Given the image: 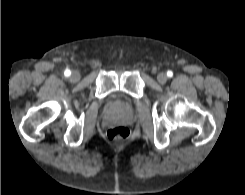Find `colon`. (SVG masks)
<instances>
[{"label": "colon", "instance_id": "5ec220e1", "mask_svg": "<svg viewBox=\"0 0 245 195\" xmlns=\"http://www.w3.org/2000/svg\"><path fill=\"white\" fill-rule=\"evenodd\" d=\"M130 136V130L125 126H116L107 131V137L114 142H121Z\"/></svg>", "mask_w": 245, "mask_h": 195}]
</instances>
